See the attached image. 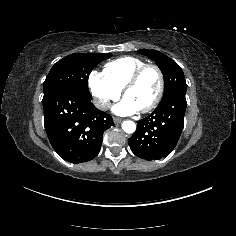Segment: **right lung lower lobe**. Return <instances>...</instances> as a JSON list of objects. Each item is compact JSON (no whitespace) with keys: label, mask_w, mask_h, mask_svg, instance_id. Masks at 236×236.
Listing matches in <instances>:
<instances>
[{"label":"right lung lower lobe","mask_w":236,"mask_h":236,"mask_svg":"<svg viewBox=\"0 0 236 236\" xmlns=\"http://www.w3.org/2000/svg\"><path fill=\"white\" fill-rule=\"evenodd\" d=\"M91 99L57 89L42 100L48 139L57 154L70 163L94 159L100 151L104 131L114 125L112 117L97 109Z\"/></svg>","instance_id":"right-lung-lower-lobe-1"}]
</instances>
